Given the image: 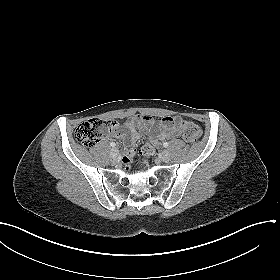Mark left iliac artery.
<instances>
[{"mask_svg": "<svg viewBox=\"0 0 280 280\" xmlns=\"http://www.w3.org/2000/svg\"><path fill=\"white\" fill-rule=\"evenodd\" d=\"M163 146H164L165 148H167V147L169 146V143H168V142H165V143L163 144Z\"/></svg>", "mask_w": 280, "mask_h": 280, "instance_id": "left-iliac-artery-1", "label": "left iliac artery"}]
</instances>
